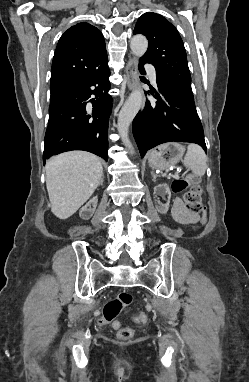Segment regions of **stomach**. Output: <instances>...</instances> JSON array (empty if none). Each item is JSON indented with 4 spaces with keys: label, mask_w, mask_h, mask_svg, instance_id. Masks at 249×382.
<instances>
[{
    "label": "stomach",
    "mask_w": 249,
    "mask_h": 382,
    "mask_svg": "<svg viewBox=\"0 0 249 382\" xmlns=\"http://www.w3.org/2000/svg\"><path fill=\"white\" fill-rule=\"evenodd\" d=\"M185 152L184 146L176 142H170L158 146L148 155L149 165L154 169L166 170L182 160Z\"/></svg>",
    "instance_id": "0dacf381"
}]
</instances>
